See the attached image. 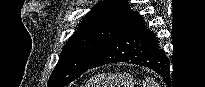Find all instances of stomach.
<instances>
[{
    "label": "stomach",
    "mask_w": 205,
    "mask_h": 87,
    "mask_svg": "<svg viewBox=\"0 0 205 87\" xmlns=\"http://www.w3.org/2000/svg\"><path fill=\"white\" fill-rule=\"evenodd\" d=\"M138 81L130 74H99L86 87H135Z\"/></svg>",
    "instance_id": "stomach-1"
}]
</instances>
